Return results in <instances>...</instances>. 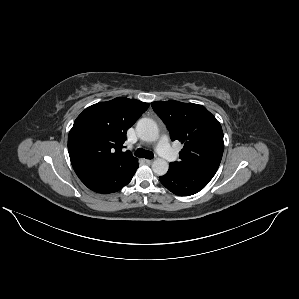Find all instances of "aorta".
<instances>
[{"instance_id":"762f6f07","label":"aorta","mask_w":299,"mask_h":299,"mask_svg":"<svg viewBox=\"0 0 299 299\" xmlns=\"http://www.w3.org/2000/svg\"><path fill=\"white\" fill-rule=\"evenodd\" d=\"M136 131L140 139L153 142L158 138L159 128L156 122L150 118H142L137 122ZM169 164L162 158H157L152 164V170L156 175L163 176L167 173Z\"/></svg>"}]
</instances>
